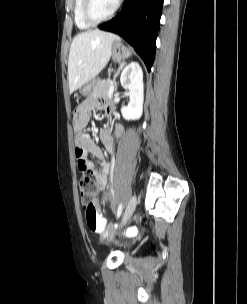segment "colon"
<instances>
[{"instance_id": "5ec220e1", "label": "colon", "mask_w": 247, "mask_h": 304, "mask_svg": "<svg viewBox=\"0 0 247 304\" xmlns=\"http://www.w3.org/2000/svg\"><path fill=\"white\" fill-rule=\"evenodd\" d=\"M77 119H74V121ZM79 193L81 202L85 208V217L88 227L93 232L104 233L108 226L105 219L101 216L99 207L94 201L97 193L95 180L90 176H83L79 182ZM122 230L125 231V238H141L143 233L136 229L135 224H123ZM130 230V231H128Z\"/></svg>"}]
</instances>
